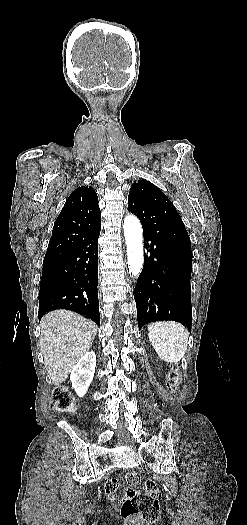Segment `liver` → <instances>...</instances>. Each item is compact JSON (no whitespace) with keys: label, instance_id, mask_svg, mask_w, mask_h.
Listing matches in <instances>:
<instances>
[{"label":"liver","instance_id":"6515ba94","mask_svg":"<svg viewBox=\"0 0 247 525\" xmlns=\"http://www.w3.org/2000/svg\"><path fill=\"white\" fill-rule=\"evenodd\" d=\"M40 351L52 385L68 379L73 367L92 347L97 325L73 311H51L40 321Z\"/></svg>","mask_w":247,"mask_h":525}]
</instances>
